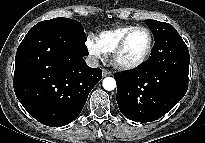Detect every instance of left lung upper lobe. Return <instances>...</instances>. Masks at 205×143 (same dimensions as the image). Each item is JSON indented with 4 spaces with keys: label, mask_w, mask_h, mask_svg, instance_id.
<instances>
[{
    "label": "left lung upper lobe",
    "mask_w": 205,
    "mask_h": 143,
    "mask_svg": "<svg viewBox=\"0 0 205 143\" xmlns=\"http://www.w3.org/2000/svg\"><path fill=\"white\" fill-rule=\"evenodd\" d=\"M146 23L149 26V28L151 29L155 41H157L161 37H164L170 33L177 31L169 23L160 22L157 20H146Z\"/></svg>",
    "instance_id": "obj_1"
}]
</instances>
